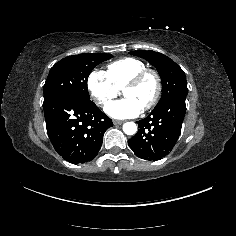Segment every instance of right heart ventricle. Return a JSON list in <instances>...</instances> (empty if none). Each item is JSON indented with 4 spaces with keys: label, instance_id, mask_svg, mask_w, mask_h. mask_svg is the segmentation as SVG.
Here are the masks:
<instances>
[{
    "label": "right heart ventricle",
    "instance_id": "right-heart-ventricle-1",
    "mask_svg": "<svg viewBox=\"0 0 236 236\" xmlns=\"http://www.w3.org/2000/svg\"><path fill=\"white\" fill-rule=\"evenodd\" d=\"M145 68L143 61L133 57H124L108 64L106 74L116 88L121 90L128 79Z\"/></svg>",
    "mask_w": 236,
    "mask_h": 236
}]
</instances>
